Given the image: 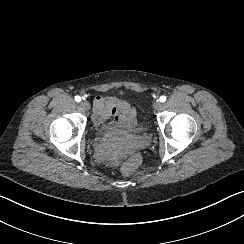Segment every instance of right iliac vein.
Listing matches in <instances>:
<instances>
[{
  "label": "right iliac vein",
  "mask_w": 244,
  "mask_h": 244,
  "mask_svg": "<svg viewBox=\"0 0 244 244\" xmlns=\"http://www.w3.org/2000/svg\"><path fill=\"white\" fill-rule=\"evenodd\" d=\"M80 107H81V109L89 110L90 109V103L86 100H83L80 102Z\"/></svg>",
  "instance_id": "right-iliac-vein-1"
}]
</instances>
